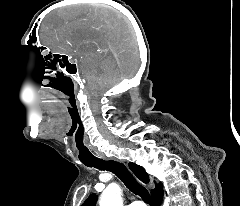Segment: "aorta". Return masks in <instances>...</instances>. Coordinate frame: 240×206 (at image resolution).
I'll list each match as a JSON object with an SVG mask.
<instances>
[{
  "label": "aorta",
  "instance_id": "1",
  "mask_svg": "<svg viewBox=\"0 0 240 206\" xmlns=\"http://www.w3.org/2000/svg\"><path fill=\"white\" fill-rule=\"evenodd\" d=\"M122 190L116 183H112L103 191L100 197V206H123L121 200Z\"/></svg>",
  "mask_w": 240,
  "mask_h": 206
}]
</instances>
